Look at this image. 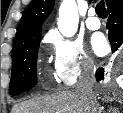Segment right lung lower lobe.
<instances>
[{"instance_id":"98d812e1","label":"right lung lower lobe","mask_w":123,"mask_h":113,"mask_svg":"<svg viewBox=\"0 0 123 113\" xmlns=\"http://www.w3.org/2000/svg\"><path fill=\"white\" fill-rule=\"evenodd\" d=\"M107 10L109 19L106 27L108 29L112 52H115L123 43V0H110L107 4ZM103 72L102 68L96 71L97 81L103 80Z\"/></svg>"}]
</instances>
